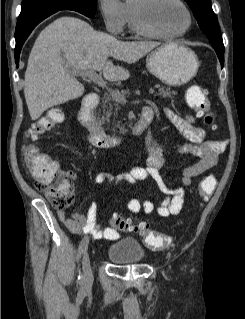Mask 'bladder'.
<instances>
[{
  "label": "bladder",
  "mask_w": 245,
  "mask_h": 319,
  "mask_svg": "<svg viewBox=\"0 0 245 319\" xmlns=\"http://www.w3.org/2000/svg\"><path fill=\"white\" fill-rule=\"evenodd\" d=\"M107 258L116 264H138L145 258V253L138 240L118 238L107 250Z\"/></svg>",
  "instance_id": "obj_1"
}]
</instances>
